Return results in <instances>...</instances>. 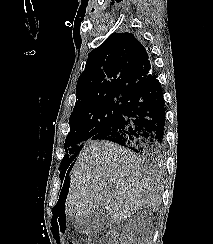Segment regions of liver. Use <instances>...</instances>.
<instances>
[{
  "instance_id": "1",
  "label": "liver",
  "mask_w": 213,
  "mask_h": 244,
  "mask_svg": "<svg viewBox=\"0 0 213 244\" xmlns=\"http://www.w3.org/2000/svg\"><path fill=\"white\" fill-rule=\"evenodd\" d=\"M162 190L145 159L115 143L90 141L72 170L65 214L86 217L103 206L113 221H122L142 208L157 211Z\"/></svg>"
}]
</instances>
